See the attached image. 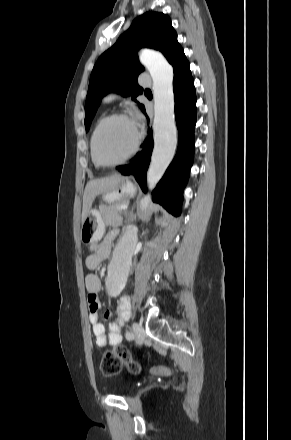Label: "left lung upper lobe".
Returning <instances> with one entry per match:
<instances>
[{
  "mask_svg": "<svg viewBox=\"0 0 291 440\" xmlns=\"http://www.w3.org/2000/svg\"><path fill=\"white\" fill-rule=\"evenodd\" d=\"M142 47L159 50L172 65L183 54L167 15L146 12L137 17L117 42L99 57L93 68L85 102L86 131L90 128L102 96L117 91L123 96L131 95L135 100L143 93L137 84V76L144 71L137 56V50ZM140 108L145 112L143 105Z\"/></svg>",
  "mask_w": 291,
  "mask_h": 440,
  "instance_id": "obj_1",
  "label": "left lung upper lobe"
}]
</instances>
